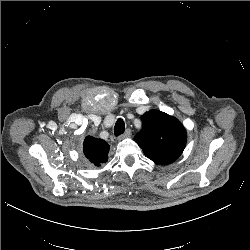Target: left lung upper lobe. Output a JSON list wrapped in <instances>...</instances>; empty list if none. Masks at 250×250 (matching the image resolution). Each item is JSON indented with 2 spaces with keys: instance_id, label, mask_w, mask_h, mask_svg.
<instances>
[{
  "instance_id": "obj_1",
  "label": "left lung upper lobe",
  "mask_w": 250,
  "mask_h": 250,
  "mask_svg": "<svg viewBox=\"0 0 250 250\" xmlns=\"http://www.w3.org/2000/svg\"><path fill=\"white\" fill-rule=\"evenodd\" d=\"M134 140L147 158L158 165H167L182 154L187 134L175 117L159 110H150L142 116V130Z\"/></svg>"
}]
</instances>
